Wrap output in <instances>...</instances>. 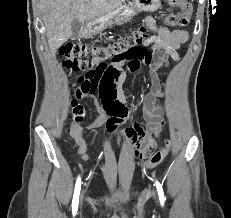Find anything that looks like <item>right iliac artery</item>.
<instances>
[{
    "instance_id": "obj_1",
    "label": "right iliac artery",
    "mask_w": 231,
    "mask_h": 218,
    "mask_svg": "<svg viewBox=\"0 0 231 218\" xmlns=\"http://www.w3.org/2000/svg\"><path fill=\"white\" fill-rule=\"evenodd\" d=\"M80 189H81V179L80 177H78L76 184H75V190H74V195H73V200H72L73 213H76L78 209Z\"/></svg>"
}]
</instances>
